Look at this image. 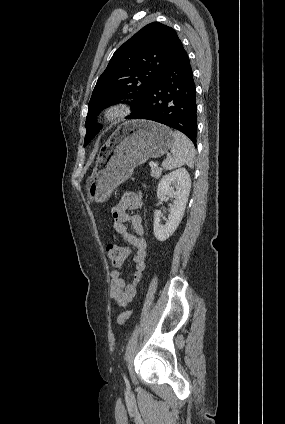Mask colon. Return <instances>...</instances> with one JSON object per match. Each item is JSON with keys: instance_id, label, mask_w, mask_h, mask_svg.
<instances>
[{"instance_id": "obj_1", "label": "colon", "mask_w": 285, "mask_h": 424, "mask_svg": "<svg viewBox=\"0 0 285 424\" xmlns=\"http://www.w3.org/2000/svg\"><path fill=\"white\" fill-rule=\"evenodd\" d=\"M106 255L107 258L114 264V265H121L123 263V261L126 258L127 255V251L125 249V247L116 245V244H109L106 247ZM131 315V310H126L123 311L122 313H120V315L118 316V323L121 325H124L129 317Z\"/></svg>"}]
</instances>
